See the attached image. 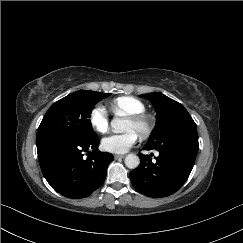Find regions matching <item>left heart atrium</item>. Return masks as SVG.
I'll use <instances>...</instances> for the list:
<instances>
[{
	"mask_svg": "<svg viewBox=\"0 0 243 243\" xmlns=\"http://www.w3.org/2000/svg\"><path fill=\"white\" fill-rule=\"evenodd\" d=\"M138 135L128 130L121 134H111L102 141V146L106 151L122 154L132 148L137 142Z\"/></svg>",
	"mask_w": 243,
	"mask_h": 243,
	"instance_id": "obj_1",
	"label": "left heart atrium"
}]
</instances>
